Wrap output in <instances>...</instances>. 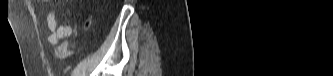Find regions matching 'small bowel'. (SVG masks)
Wrapping results in <instances>:
<instances>
[{"mask_svg":"<svg viewBox=\"0 0 333 76\" xmlns=\"http://www.w3.org/2000/svg\"><path fill=\"white\" fill-rule=\"evenodd\" d=\"M49 36L48 41L52 45L58 44L62 39L71 37L73 29L70 25H60L54 11L50 10L47 18Z\"/></svg>","mask_w":333,"mask_h":76,"instance_id":"small-bowel-1","label":"small bowel"}]
</instances>
